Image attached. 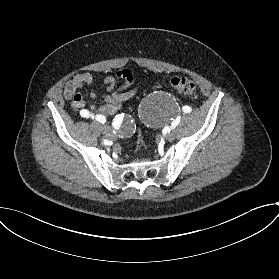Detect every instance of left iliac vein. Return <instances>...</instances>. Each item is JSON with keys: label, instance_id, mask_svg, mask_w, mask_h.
I'll return each mask as SVG.
<instances>
[{"label": "left iliac vein", "instance_id": "obj_1", "mask_svg": "<svg viewBox=\"0 0 279 279\" xmlns=\"http://www.w3.org/2000/svg\"><path fill=\"white\" fill-rule=\"evenodd\" d=\"M167 140L168 141H173L174 140V138H175V134L171 131V132H168L167 133Z\"/></svg>", "mask_w": 279, "mask_h": 279}]
</instances>
